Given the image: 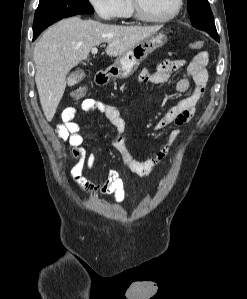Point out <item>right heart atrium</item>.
<instances>
[{
	"mask_svg": "<svg viewBox=\"0 0 247 299\" xmlns=\"http://www.w3.org/2000/svg\"><path fill=\"white\" fill-rule=\"evenodd\" d=\"M88 2L101 20L112 21L120 16L121 0H88Z\"/></svg>",
	"mask_w": 247,
	"mask_h": 299,
	"instance_id": "d8ad5b80",
	"label": "right heart atrium"
}]
</instances>
